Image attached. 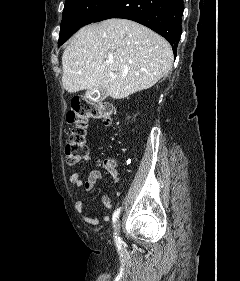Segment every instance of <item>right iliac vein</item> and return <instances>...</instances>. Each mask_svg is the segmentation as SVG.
<instances>
[{
    "instance_id": "1",
    "label": "right iliac vein",
    "mask_w": 240,
    "mask_h": 281,
    "mask_svg": "<svg viewBox=\"0 0 240 281\" xmlns=\"http://www.w3.org/2000/svg\"><path fill=\"white\" fill-rule=\"evenodd\" d=\"M115 234H117V235H119V232H120V224L118 223V224H116V226H115Z\"/></svg>"
}]
</instances>
